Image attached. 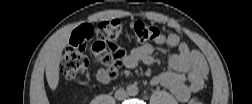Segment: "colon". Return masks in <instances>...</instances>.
Listing matches in <instances>:
<instances>
[{"label": "colon", "mask_w": 252, "mask_h": 104, "mask_svg": "<svg viewBox=\"0 0 252 104\" xmlns=\"http://www.w3.org/2000/svg\"><path fill=\"white\" fill-rule=\"evenodd\" d=\"M129 29L137 43H152L163 36L160 28L140 19L132 21ZM124 35L125 28L118 19L104 21L97 26L80 25L73 32L70 44L63 51L59 65L60 73L67 80H74L84 74L88 67V59L84 55V50L89 41H95L93 52L106 69L109 78H116L124 55L120 45ZM191 102L199 104L201 101L198 97H194Z\"/></svg>", "instance_id": "colon-1"}]
</instances>
